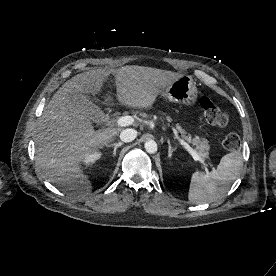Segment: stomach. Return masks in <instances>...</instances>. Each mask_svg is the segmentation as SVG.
<instances>
[{
    "mask_svg": "<svg viewBox=\"0 0 276 276\" xmlns=\"http://www.w3.org/2000/svg\"><path fill=\"white\" fill-rule=\"evenodd\" d=\"M161 95L172 102L192 106L196 103L198 90L191 76H181L167 86Z\"/></svg>",
    "mask_w": 276,
    "mask_h": 276,
    "instance_id": "1",
    "label": "stomach"
}]
</instances>
